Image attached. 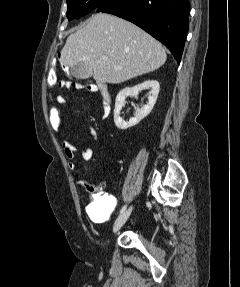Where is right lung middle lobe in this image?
Wrapping results in <instances>:
<instances>
[{
	"mask_svg": "<svg viewBox=\"0 0 240 287\" xmlns=\"http://www.w3.org/2000/svg\"><path fill=\"white\" fill-rule=\"evenodd\" d=\"M106 0H67V17L69 20L79 18L98 8Z\"/></svg>",
	"mask_w": 240,
	"mask_h": 287,
	"instance_id": "obj_1",
	"label": "right lung middle lobe"
}]
</instances>
